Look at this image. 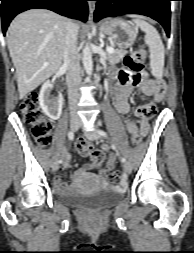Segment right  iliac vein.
<instances>
[{"instance_id": "right-iliac-vein-1", "label": "right iliac vein", "mask_w": 194, "mask_h": 253, "mask_svg": "<svg viewBox=\"0 0 194 253\" xmlns=\"http://www.w3.org/2000/svg\"><path fill=\"white\" fill-rule=\"evenodd\" d=\"M79 126H80L79 120H77V119H72L71 120V122H70V129H71L72 132H76L78 130ZM58 167H59V164H58L57 161H55L52 164L53 171H57Z\"/></svg>"}]
</instances>
